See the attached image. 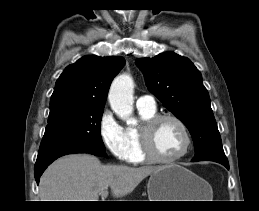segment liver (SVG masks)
Here are the masks:
<instances>
[{
	"label": "liver",
	"instance_id": "1",
	"mask_svg": "<svg viewBox=\"0 0 259 211\" xmlns=\"http://www.w3.org/2000/svg\"><path fill=\"white\" fill-rule=\"evenodd\" d=\"M161 168L102 165L89 154L68 155L56 160L43 173L39 196L41 201H98L100 192L110 187L113 196L121 198Z\"/></svg>",
	"mask_w": 259,
	"mask_h": 211
}]
</instances>
